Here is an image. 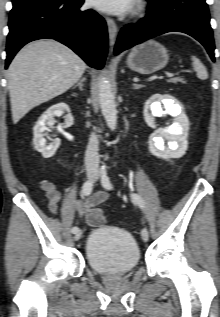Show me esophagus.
<instances>
[{
    "label": "esophagus",
    "instance_id": "obj_1",
    "mask_svg": "<svg viewBox=\"0 0 220 317\" xmlns=\"http://www.w3.org/2000/svg\"><path fill=\"white\" fill-rule=\"evenodd\" d=\"M106 23H107V28H108L109 42H110V46L112 49L113 45L115 43V40H116L118 27H117L116 22L111 18H106Z\"/></svg>",
    "mask_w": 220,
    "mask_h": 317
}]
</instances>
